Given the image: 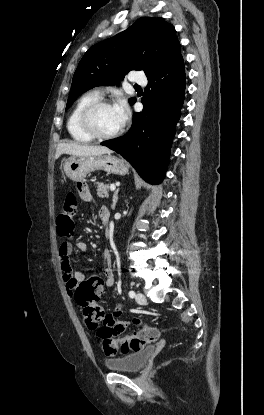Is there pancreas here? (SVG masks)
I'll list each match as a JSON object with an SVG mask.
<instances>
[{
  "label": "pancreas",
  "mask_w": 264,
  "mask_h": 415,
  "mask_svg": "<svg viewBox=\"0 0 264 415\" xmlns=\"http://www.w3.org/2000/svg\"><path fill=\"white\" fill-rule=\"evenodd\" d=\"M96 188H97L96 191H97L98 197L104 198L108 195L110 184L97 183Z\"/></svg>",
  "instance_id": "1"
}]
</instances>
